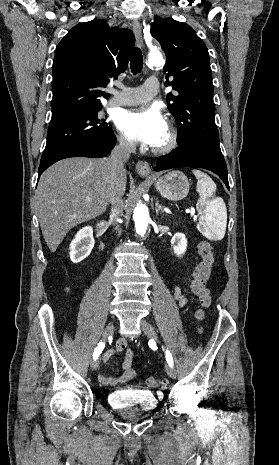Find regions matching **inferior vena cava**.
<instances>
[{"mask_svg":"<svg viewBox=\"0 0 279 465\" xmlns=\"http://www.w3.org/2000/svg\"><path fill=\"white\" fill-rule=\"evenodd\" d=\"M135 150L136 145L133 141L120 137L119 144L111 151L110 156L106 159L110 171L109 200L112 204L111 216L114 221L123 213L124 208L122 199L124 192L121 189V176L125 172V161L129 159L130 154L134 153ZM115 230L118 234L121 233V229L116 222Z\"/></svg>","mask_w":279,"mask_h":465,"instance_id":"602c4592","label":"inferior vena cava"}]
</instances>
